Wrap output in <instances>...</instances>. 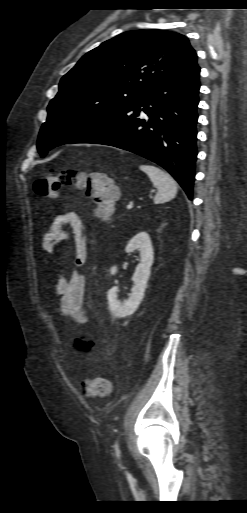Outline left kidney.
Here are the masks:
<instances>
[{"label":"left kidney","instance_id":"left-kidney-1","mask_svg":"<svg viewBox=\"0 0 247 513\" xmlns=\"http://www.w3.org/2000/svg\"><path fill=\"white\" fill-rule=\"evenodd\" d=\"M126 252L138 250L140 262L133 274L132 280L135 283L131 289L130 297L123 302L117 299L118 287H112L107 293L108 305L114 317H126L132 315L140 305L150 276L153 264L154 252L151 239L146 232L136 234L127 244ZM117 272V267L111 268V274Z\"/></svg>","mask_w":247,"mask_h":513}]
</instances>
